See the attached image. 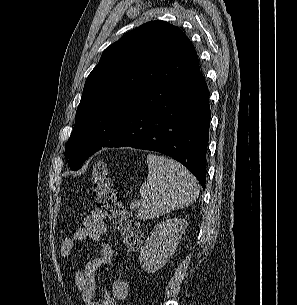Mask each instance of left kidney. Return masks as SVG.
I'll return each instance as SVG.
<instances>
[{
  "label": "left kidney",
  "instance_id": "obj_1",
  "mask_svg": "<svg viewBox=\"0 0 297 305\" xmlns=\"http://www.w3.org/2000/svg\"><path fill=\"white\" fill-rule=\"evenodd\" d=\"M186 227L187 221L180 218L158 223L141 249V267L148 273H154L163 267L175 253Z\"/></svg>",
  "mask_w": 297,
  "mask_h": 305
}]
</instances>
